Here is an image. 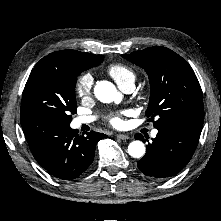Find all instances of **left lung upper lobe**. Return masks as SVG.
Segmentation results:
<instances>
[{
  "mask_svg": "<svg viewBox=\"0 0 221 221\" xmlns=\"http://www.w3.org/2000/svg\"><path fill=\"white\" fill-rule=\"evenodd\" d=\"M122 57L149 75L151 93L146 115L155 128L182 121L203 123L201 88L181 56L165 47H150Z\"/></svg>",
  "mask_w": 221,
  "mask_h": 221,
  "instance_id": "5c2ea615",
  "label": "left lung upper lobe"
}]
</instances>
